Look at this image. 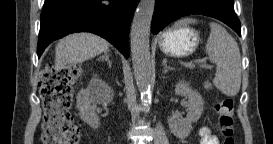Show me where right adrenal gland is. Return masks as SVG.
<instances>
[{
    "label": "right adrenal gland",
    "instance_id": "right-adrenal-gland-1",
    "mask_svg": "<svg viewBox=\"0 0 273 144\" xmlns=\"http://www.w3.org/2000/svg\"><path fill=\"white\" fill-rule=\"evenodd\" d=\"M108 53H109V50H106L105 52H104V55H102L101 57H99L98 58V60H105V61H107V63L109 64V67L111 68V61L109 60V55H108Z\"/></svg>",
    "mask_w": 273,
    "mask_h": 144
}]
</instances>
